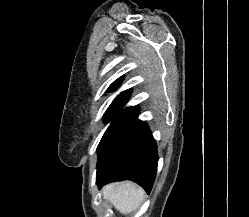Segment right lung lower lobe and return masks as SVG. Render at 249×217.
Masks as SVG:
<instances>
[{"label":"right lung lower lobe","mask_w":249,"mask_h":217,"mask_svg":"<svg viewBox=\"0 0 249 217\" xmlns=\"http://www.w3.org/2000/svg\"><path fill=\"white\" fill-rule=\"evenodd\" d=\"M131 91L120 96L105 113L112 120L97 148V183L132 180L147 193L151 191L157 171V146L148 125L137 119V106L122 110Z\"/></svg>","instance_id":"right-lung-lower-lobe-1"}]
</instances>
